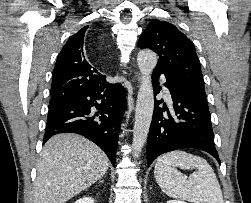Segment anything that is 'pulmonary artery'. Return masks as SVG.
<instances>
[{"mask_svg": "<svg viewBox=\"0 0 251 203\" xmlns=\"http://www.w3.org/2000/svg\"><path fill=\"white\" fill-rule=\"evenodd\" d=\"M163 89H164V93H165V95H166L167 97H169V96H170V94H169L168 89H167L166 87H164Z\"/></svg>", "mask_w": 251, "mask_h": 203, "instance_id": "e3ab8cb5", "label": "pulmonary artery"}]
</instances>
